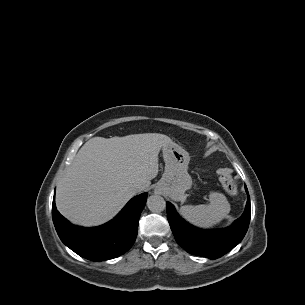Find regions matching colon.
Here are the masks:
<instances>
[{
    "instance_id": "1",
    "label": "colon",
    "mask_w": 305,
    "mask_h": 305,
    "mask_svg": "<svg viewBox=\"0 0 305 305\" xmlns=\"http://www.w3.org/2000/svg\"><path fill=\"white\" fill-rule=\"evenodd\" d=\"M219 182L226 193L235 197L238 194L236 184L228 171H222L219 175Z\"/></svg>"
}]
</instances>
